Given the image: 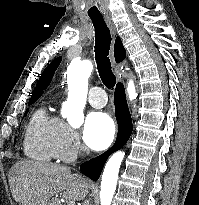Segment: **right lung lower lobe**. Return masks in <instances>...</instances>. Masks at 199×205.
Returning <instances> with one entry per match:
<instances>
[{
    "label": "right lung lower lobe",
    "instance_id": "98d812e1",
    "mask_svg": "<svg viewBox=\"0 0 199 205\" xmlns=\"http://www.w3.org/2000/svg\"><path fill=\"white\" fill-rule=\"evenodd\" d=\"M115 116L118 122V134L115 144L102 155L83 163L80 166L81 172L90 179L97 181L108 157L115 151L121 149L128 141L132 133V120L129 113L125 90L122 83H118L115 94Z\"/></svg>",
    "mask_w": 199,
    "mask_h": 205
}]
</instances>
